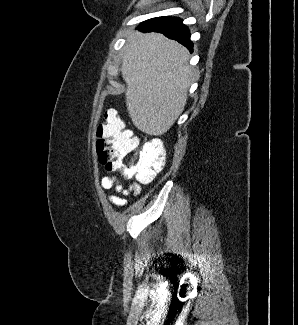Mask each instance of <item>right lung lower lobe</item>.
I'll list each match as a JSON object with an SVG mask.
<instances>
[{
  "instance_id": "1",
  "label": "right lung lower lobe",
  "mask_w": 298,
  "mask_h": 325,
  "mask_svg": "<svg viewBox=\"0 0 298 325\" xmlns=\"http://www.w3.org/2000/svg\"><path fill=\"white\" fill-rule=\"evenodd\" d=\"M139 29L143 32H160L170 39L177 40L192 51L193 44L190 41L188 28L182 24V20L176 17H160L145 21Z\"/></svg>"
}]
</instances>
